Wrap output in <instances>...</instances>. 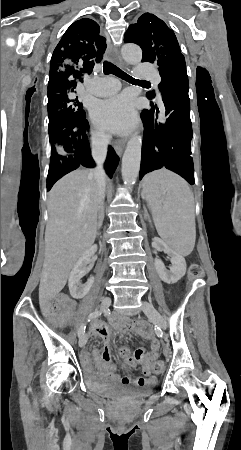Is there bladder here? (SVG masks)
<instances>
[{"instance_id": "31cf9c89", "label": "bladder", "mask_w": 241, "mask_h": 450, "mask_svg": "<svg viewBox=\"0 0 241 450\" xmlns=\"http://www.w3.org/2000/svg\"><path fill=\"white\" fill-rule=\"evenodd\" d=\"M107 394L113 398H134L137 397V393L131 389L122 386H111L107 389Z\"/></svg>"}]
</instances>
